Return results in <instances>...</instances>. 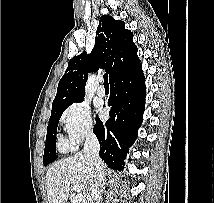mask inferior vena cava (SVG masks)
Masks as SVG:
<instances>
[{
	"label": "inferior vena cava",
	"instance_id": "inferior-vena-cava-1",
	"mask_svg": "<svg viewBox=\"0 0 214 203\" xmlns=\"http://www.w3.org/2000/svg\"><path fill=\"white\" fill-rule=\"evenodd\" d=\"M100 144L96 135L90 132L84 144L83 154L91 168V194L86 203H100L104 186V163L99 156Z\"/></svg>",
	"mask_w": 214,
	"mask_h": 203
}]
</instances>
